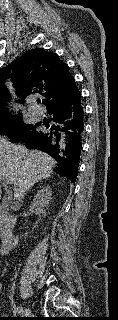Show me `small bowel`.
Here are the masks:
<instances>
[{"label":"small bowel","instance_id":"small-bowel-1","mask_svg":"<svg viewBox=\"0 0 118 320\" xmlns=\"http://www.w3.org/2000/svg\"><path fill=\"white\" fill-rule=\"evenodd\" d=\"M2 290V283L0 282V291Z\"/></svg>","mask_w":118,"mask_h":320}]
</instances>
